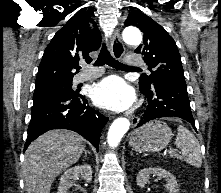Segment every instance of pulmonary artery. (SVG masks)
Masks as SVG:
<instances>
[{
	"label": "pulmonary artery",
	"instance_id": "obj_1",
	"mask_svg": "<svg viewBox=\"0 0 221 193\" xmlns=\"http://www.w3.org/2000/svg\"><path fill=\"white\" fill-rule=\"evenodd\" d=\"M126 62L132 66L144 65L142 58L137 54L126 56ZM103 73H104L103 70L83 71V72L77 74L73 78L72 83H73V85H78V84L86 82V81H91V80L99 78L100 76L103 75Z\"/></svg>",
	"mask_w": 221,
	"mask_h": 193
}]
</instances>
